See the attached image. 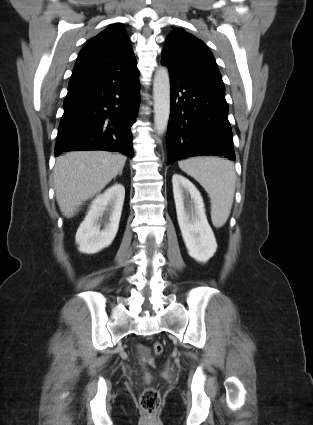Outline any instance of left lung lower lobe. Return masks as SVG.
<instances>
[{
	"instance_id": "1",
	"label": "left lung lower lobe",
	"mask_w": 313,
	"mask_h": 425,
	"mask_svg": "<svg viewBox=\"0 0 313 425\" xmlns=\"http://www.w3.org/2000/svg\"><path fill=\"white\" fill-rule=\"evenodd\" d=\"M169 73L167 162L201 155L225 156L235 161L224 85L191 79L171 68Z\"/></svg>"
}]
</instances>
